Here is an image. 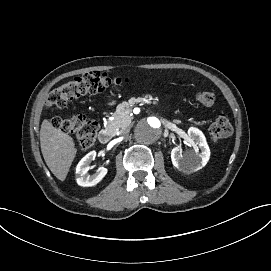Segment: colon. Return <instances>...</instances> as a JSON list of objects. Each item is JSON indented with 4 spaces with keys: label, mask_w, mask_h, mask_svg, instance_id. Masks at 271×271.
Returning <instances> with one entry per match:
<instances>
[{
    "label": "colon",
    "mask_w": 271,
    "mask_h": 271,
    "mask_svg": "<svg viewBox=\"0 0 271 271\" xmlns=\"http://www.w3.org/2000/svg\"><path fill=\"white\" fill-rule=\"evenodd\" d=\"M127 82V78L112 77L97 71L85 73L53 89L47 97L46 106L48 108H63L69 102L83 95L96 94L112 85H121ZM215 98L216 95L211 90L200 91L195 96L196 102L204 107L213 105ZM52 124L65 133L75 135L78 145L83 151L90 149L95 144L98 125L83 115H73L66 118L57 116L52 119ZM232 132V124L225 114L218 115L210 127V135L214 141L227 139L232 135Z\"/></svg>",
    "instance_id": "colon-1"
}]
</instances>
